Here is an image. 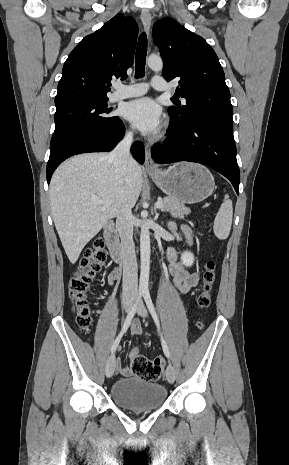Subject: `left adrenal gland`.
<instances>
[{
    "mask_svg": "<svg viewBox=\"0 0 289 465\" xmlns=\"http://www.w3.org/2000/svg\"><path fill=\"white\" fill-rule=\"evenodd\" d=\"M156 216L158 217V214H156ZM162 224H164V222H162Z\"/></svg>",
    "mask_w": 289,
    "mask_h": 465,
    "instance_id": "a2214340",
    "label": "left adrenal gland"
}]
</instances>
